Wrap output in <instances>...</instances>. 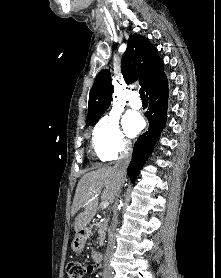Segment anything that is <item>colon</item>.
I'll return each mask as SVG.
<instances>
[{"instance_id":"obj_1","label":"colon","mask_w":221,"mask_h":278,"mask_svg":"<svg viewBox=\"0 0 221 278\" xmlns=\"http://www.w3.org/2000/svg\"><path fill=\"white\" fill-rule=\"evenodd\" d=\"M91 272V266L81 261H72L67 265L66 273L68 278H84Z\"/></svg>"}]
</instances>
